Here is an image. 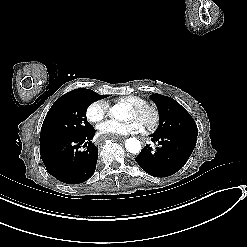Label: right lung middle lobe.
Masks as SVG:
<instances>
[{
  "label": "right lung middle lobe",
  "instance_id": "obj_1",
  "mask_svg": "<svg viewBox=\"0 0 247 247\" xmlns=\"http://www.w3.org/2000/svg\"><path fill=\"white\" fill-rule=\"evenodd\" d=\"M107 95L79 88L58 98L48 111L42 124L40 143L59 137L79 136L93 127L87 122L88 106Z\"/></svg>",
  "mask_w": 247,
  "mask_h": 247
}]
</instances>
